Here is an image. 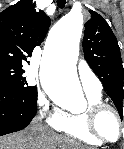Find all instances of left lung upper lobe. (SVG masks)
<instances>
[{"label": "left lung upper lobe", "mask_w": 124, "mask_h": 149, "mask_svg": "<svg viewBox=\"0 0 124 149\" xmlns=\"http://www.w3.org/2000/svg\"><path fill=\"white\" fill-rule=\"evenodd\" d=\"M91 19L85 23L83 52L93 72L101 80L107 95L113 100L123 118L124 69L120 48L115 35L105 19L90 11Z\"/></svg>", "instance_id": "obj_1"}]
</instances>
